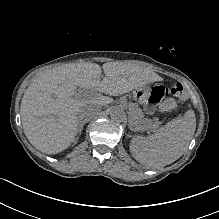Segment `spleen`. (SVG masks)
I'll return each instance as SVG.
<instances>
[{
  "mask_svg": "<svg viewBox=\"0 0 219 219\" xmlns=\"http://www.w3.org/2000/svg\"><path fill=\"white\" fill-rule=\"evenodd\" d=\"M196 130L193 110L185 112L149 137L134 136L130 152L139 163L149 168H161L179 159L190 144Z\"/></svg>",
  "mask_w": 219,
  "mask_h": 219,
  "instance_id": "spleen-1",
  "label": "spleen"
}]
</instances>
